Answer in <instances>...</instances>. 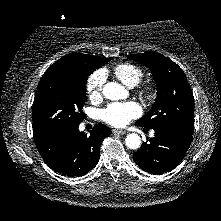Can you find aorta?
I'll return each instance as SVG.
<instances>
[{"instance_id": "aorta-1", "label": "aorta", "mask_w": 221, "mask_h": 221, "mask_svg": "<svg viewBox=\"0 0 221 221\" xmlns=\"http://www.w3.org/2000/svg\"><path fill=\"white\" fill-rule=\"evenodd\" d=\"M102 92L105 98L110 100L125 99L128 96V91L125 89V87L116 82L106 83ZM125 143L128 148L135 150L140 147L141 138L135 133L128 134L125 138Z\"/></svg>"}]
</instances>
